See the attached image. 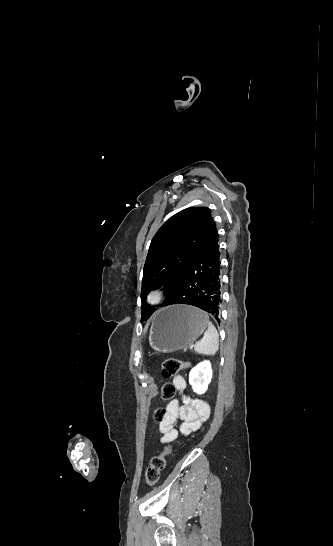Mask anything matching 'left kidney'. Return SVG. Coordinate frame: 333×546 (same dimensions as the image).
I'll use <instances>...</instances> for the list:
<instances>
[{
	"instance_id": "obj_1",
	"label": "left kidney",
	"mask_w": 333,
	"mask_h": 546,
	"mask_svg": "<svg viewBox=\"0 0 333 546\" xmlns=\"http://www.w3.org/2000/svg\"><path fill=\"white\" fill-rule=\"evenodd\" d=\"M212 368L211 363L208 360L197 364L189 374V383L192 385V389L197 394H203L208 388V384L211 382Z\"/></svg>"
}]
</instances>
